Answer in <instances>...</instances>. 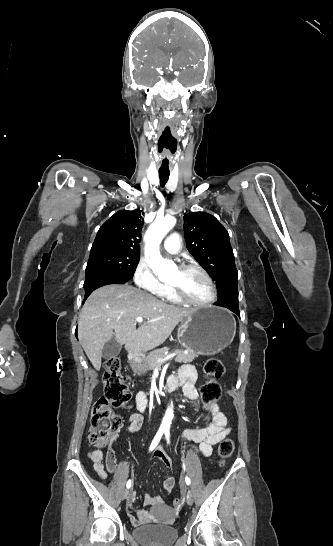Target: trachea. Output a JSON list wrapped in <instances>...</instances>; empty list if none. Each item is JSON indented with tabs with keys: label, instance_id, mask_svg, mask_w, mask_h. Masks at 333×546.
I'll list each match as a JSON object with an SVG mask.
<instances>
[{
	"label": "trachea",
	"instance_id": "3493384b",
	"mask_svg": "<svg viewBox=\"0 0 333 546\" xmlns=\"http://www.w3.org/2000/svg\"><path fill=\"white\" fill-rule=\"evenodd\" d=\"M159 178H160V185L164 187L166 182L168 181L169 173L159 172Z\"/></svg>",
	"mask_w": 333,
	"mask_h": 546
}]
</instances>
